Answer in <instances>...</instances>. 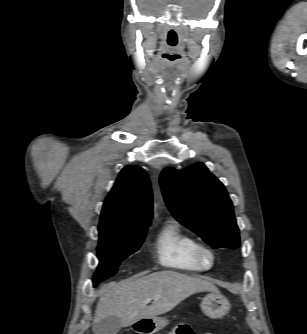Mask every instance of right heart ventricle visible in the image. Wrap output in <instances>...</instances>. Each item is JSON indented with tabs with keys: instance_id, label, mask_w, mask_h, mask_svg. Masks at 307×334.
I'll return each instance as SVG.
<instances>
[{
	"instance_id": "e07e8e85",
	"label": "right heart ventricle",
	"mask_w": 307,
	"mask_h": 334,
	"mask_svg": "<svg viewBox=\"0 0 307 334\" xmlns=\"http://www.w3.org/2000/svg\"><path fill=\"white\" fill-rule=\"evenodd\" d=\"M197 243V240L177 222L168 220L155 235V258L166 268L193 273L204 271L194 256Z\"/></svg>"
}]
</instances>
